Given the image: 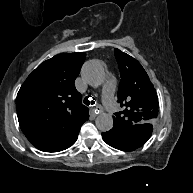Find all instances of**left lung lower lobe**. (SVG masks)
Segmentation results:
<instances>
[{"label": "left lung lower lobe", "mask_w": 193, "mask_h": 193, "mask_svg": "<svg viewBox=\"0 0 193 193\" xmlns=\"http://www.w3.org/2000/svg\"><path fill=\"white\" fill-rule=\"evenodd\" d=\"M115 126L108 132L102 133L103 140L110 146L123 151H132L141 147L151 136V125L139 126Z\"/></svg>", "instance_id": "obj_1"}]
</instances>
